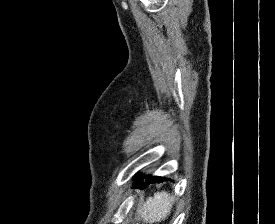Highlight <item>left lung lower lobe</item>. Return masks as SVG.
<instances>
[{
	"mask_svg": "<svg viewBox=\"0 0 275 224\" xmlns=\"http://www.w3.org/2000/svg\"><path fill=\"white\" fill-rule=\"evenodd\" d=\"M163 180H164L163 178L157 177V176L152 177V178H150V177L146 178L147 182H161ZM141 181H142V178L141 179H137V182L135 183V187H137L138 185H140V187L143 188L144 186L141 183H139Z\"/></svg>",
	"mask_w": 275,
	"mask_h": 224,
	"instance_id": "left-lung-lower-lobe-1",
	"label": "left lung lower lobe"
}]
</instances>
